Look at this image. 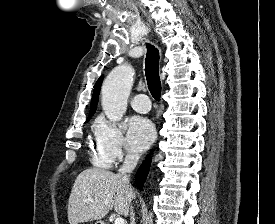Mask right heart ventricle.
<instances>
[{"label":"right heart ventricle","instance_id":"e07e8e85","mask_svg":"<svg viewBox=\"0 0 275 224\" xmlns=\"http://www.w3.org/2000/svg\"><path fill=\"white\" fill-rule=\"evenodd\" d=\"M91 148V159L94 165L101 168L111 167L113 161L108 157V155L98 146L97 141L94 145L90 144Z\"/></svg>","mask_w":275,"mask_h":224}]
</instances>
